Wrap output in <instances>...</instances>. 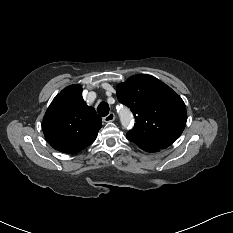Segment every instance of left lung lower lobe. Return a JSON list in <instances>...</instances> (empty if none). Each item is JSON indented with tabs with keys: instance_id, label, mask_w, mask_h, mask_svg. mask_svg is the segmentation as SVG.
Masks as SVG:
<instances>
[{
	"instance_id": "0a47b994",
	"label": "left lung lower lobe",
	"mask_w": 233,
	"mask_h": 233,
	"mask_svg": "<svg viewBox=\"0 0 233 233\" xmlns=\"http://www.w3.org/2000/svg\"><path fill=\"white\" fill-rule=\"evenodd\" d=\"M145 151H147V152H156L158 150H145Z\"/></svg>"
}]
</instances>
